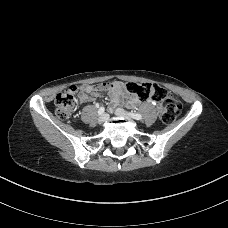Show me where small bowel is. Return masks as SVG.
Listing matches in <instances>:
<instances>
[{
    "label": "small bowel",
    "instance_id": "1",
    "mask_svg": "<svg viewBox=\"0 0 228 228\" xmlns=\"http://www.w3.org/2000/svg\"><path fill=\"white\" fill-rule=\"evenodd\" d=\"M107 92L110 95V108H113L126 101L129 106L139 104V99L134 95L126 93L124 84L121 81H113L102 85H84L80 89L79 102L86 103L97 97L99 93ZM152 101V99H148Z\"/></svg>",
    "mask_w": 228,
    "mask_h": 228
}]
</instances>
